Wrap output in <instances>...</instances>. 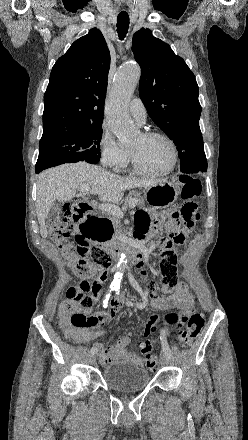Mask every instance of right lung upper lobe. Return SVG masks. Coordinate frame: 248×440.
Listing matches in <instances>:
<instances>
[{
  "instance_id": "obj_1",
  "label": "right lung upper lobe",
  "mask_w": 248,
  "mask_h": 440,
  "mask_svg": "<svg viewBox=\"0 0 248 440\" xmlns=\"http://www.w3.org/2000/svg\"><path fill=\"white\" fill-rule=\"evenodd\" d=\"M109 68L110 52L98 29L71 45L51 71L42 136L102 124Z\"/></svg>"
}]
</instances>
